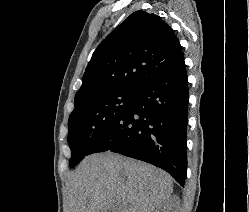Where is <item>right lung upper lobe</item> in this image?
Masks as SVG:
<instances>
[{
    "label": "right lung upper lobe",
    "instance_id": "1",
    "mask_svg": "<svg viewBox=\"0 0 249 212\" xmlns=\"http://www.w3.org/2000/svg\"><path fill=\"white\" fill-rule=\"evenodd\" d=\"M183 60L172 28L156 14L136 11L94 51L76 93L75 107L111 92H136Z\"/></svg>",
    "mask_w": 249,
    "mask_h": 212
}]
</instances>
